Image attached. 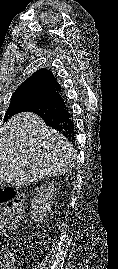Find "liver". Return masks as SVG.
<instances>
[{
	"mask_svg": "<svg viewBox=\"0 0 118 269\" xmlns=\"http://www.w3.org/2000/svg\"><path fill=\"white\" fill-rule=\"evenodd\" d=\"M76 157L73 145L34 113L17 114L0 127V181L20 187L62 175Z\"/></svg>",
	"mask_w": 118,
	"mask_h": 269,
	"instance_id": "1",
	"label": "liver"
}]
</instances>
